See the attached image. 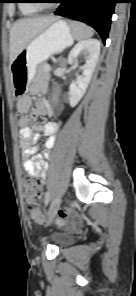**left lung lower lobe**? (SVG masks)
Listing matches in <instances>:
<instances>
[{"label": "left lung lower lobe", "mask_w": 136, "mask_h": 296, "mask_svg": "<svg viewBox=\"0 0 136 296\" xmlns=\"http://www.w3.org/2000/svg\"><path fill=\"white\" fill-rule=\"evenodd\" d=\"M56 15L72 18L92 26L106 42L117 0H62Z\"/></svg>", "instance_id": "1"}]
</instances>
